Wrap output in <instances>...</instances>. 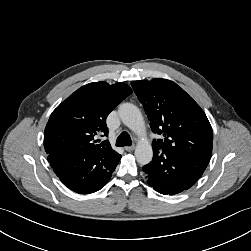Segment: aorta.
<instances>
[{
	"label": "aorta",
	"instance_id": "1",
	"mask_svg": "<svg viewBox=\"0 0 251 251\" xmlns=\"http://www.w3.org/2000/svg\"><path fill=\"white\" fill-rule=\"evenodd\" d=\"M122 122L137 135H144L146 131L145 122L140 110L131 103H123L118 109ZM135 157L139 164L146 165L151 162L153 150L146 139H141L135 149Z\"/></svg>",
	"mask_w": 251,
	"mask_h": 251
}]
</instances>
